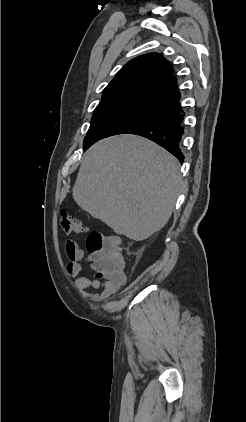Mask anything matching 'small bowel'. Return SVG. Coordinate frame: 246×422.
<instances>
[{
  "label": "small bowel",
  "mask_w": 246,
  "mask_h": 422,
  "mask_svg": "<svg viewBox=\"0 0 246 422\" xmlns=\"http://www.w3.org/2000/svg\"><path fill=\"white\" fill-rule=\"evenodd\" d=\"M66 253L69 260L67 272L71 277L75 278L77 286L81 289H102L100 293L91 294L92 298L95 300L109 298L124 284L125 276L123 273L116 278L99 277V256L96 254H89L86 256L84 250L80 248L77 243L68 241L66 244ZM84 260H87L90 263L91 269L95 271V276L93 278L82 275L85 270L83 265Z\"/></svg>",
  "instance_id": "c3829d8e"
}]
</instances>
